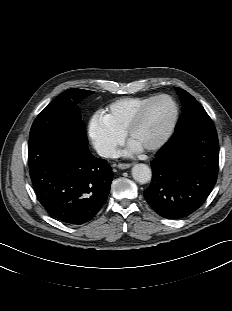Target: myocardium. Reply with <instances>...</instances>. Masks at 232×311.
I'll use <instances>...</instances> for the list:
<instances>
[{
	"label": "myocardium",
	"mask_w": 232,
	"mask_h": 311,
	"mask_svg": "<svg viewBox=\"0 0 232 311\" xmlns=\"http://www.w3.org/2000/svg\"><path fill=\"white\" fill-rule=\"evenodd\" d=\"M161 99H166L168 101L171 102L172 106H173V116L172 119L168 125V127L166 128V130L164 131V133L161 135V137L155 141L153 144L149 145L148 147L144 148V151L147 152H151V151H155L159 148H161L170 138V136L172 135L175 126L177 124L178 121V116H179V109H178V105L176 103V101L169 95L166 94H161V95H156L153 96L151 99H149L147 102H145L134 114L133 118L131 119V121L129 122V124L127 125L125 131H124V136L127 140H130V136L132 134V132L135 130V128L140 124V122L142 121L146 111L148 110V108L156 101L161 100Z\"/></svg>",
	"instance_id": "obj_1"
}]
</instances>
